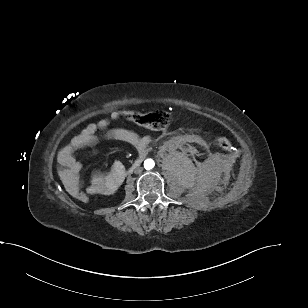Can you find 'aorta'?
I'll list each match as a JSON object with an SVG mask.
<instances>
[{
  "mask_svg": "<svg viewBox=\"0 0 308 308\" xmlns=\"http://www.w3.org/2000/svg\"><path fill=\"white\" fill-rule=\"evenodd\" d=\"M154 166H155L154 160H152V159H147V160L144 161V168H145L146 170H151V169L154 168Z\"/></svg>",
  "mask_w": 308,
  "mask_h": 308,
  "instance_id": "1",
  "label": "aorta"
}]
</instances>
